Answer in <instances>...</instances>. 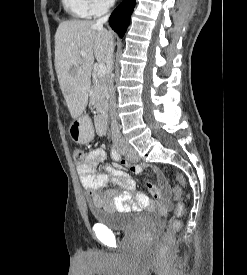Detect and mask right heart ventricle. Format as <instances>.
I'll list each match as a JSON object with an SVG mask.
<instances>
[{"instance_id":"e07e8e85","label":"right heart ventricle","mask_w":247,"mask_h":275,"mask_svg":"<svg viewBox=\"0 0 247 275\" xmlns=\"http://www.w3.org/2000/svg\"><path fill=\"white\" fill-rule=\"evenodd\" d=\"M66 12L74 18L86 19L92 16L87 0H61Z\"/></svg>"}]
</instances>
